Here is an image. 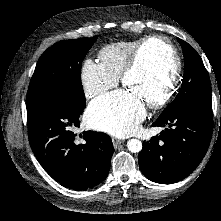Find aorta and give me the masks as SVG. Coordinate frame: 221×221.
<instances>
[{
    "label": "aorta",
    "mask_w": 221,
    "mask_h": 221,
    "mask_svg": "<svg viewBox=\"0 0 221 221\" xmlns=\"http://www.w3.org/2000/svg\"><path fill=\"white\" fill-rule=\"evenodd\" d=\"M127 148L132 153H138L142 150V142L138 139H130L127 142Z\"/></svg>",
    "instance_id": "1"
}]
</instances>
